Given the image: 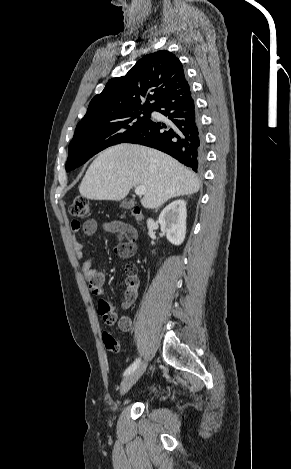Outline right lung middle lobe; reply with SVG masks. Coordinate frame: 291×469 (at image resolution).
Instances as JSON below:
<instances>
[{"instance_id":"1","label":"right lung middle lobe","mask_w":291,"mask_h":469,"mask_svg":"<svg viewBox=\"0 0 291 469\" xmlns=\"http://www.w3.org/2000/svg\"><path fill=\"white\" fill-rule=\"evenodd\" d=\"M152 111L136 109L105 118L80 121L69 144L66 171L79 167L103 149L122 143L149 122Z\"/></svg>"}]
</instances>
